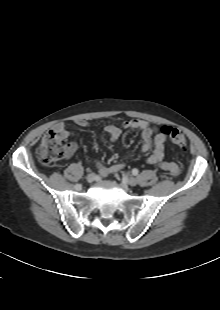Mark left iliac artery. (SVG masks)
<instances>
[{"mask_svg": "<svg viewBox=\"0 0 220 310\" xmlns=\"http://www.w3.org/2000/svg\"><path fill=\"white\" fill-rule=\"evenodd\" d=\"M138 172H139V171H138V169H136V168H134V169L132 170V174H133V175H137Z\"/></svg>", "mask_w": 220, "mask_h": 310, "instance_id": "44dca946", "label": "left iliac artery"}]
</instances>
